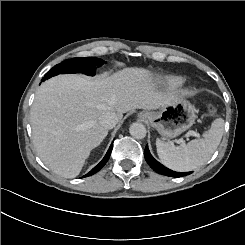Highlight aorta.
I'll use <instances>...</instances> for the list:
<instances>
[{"label": "aorta", "instance_id": "aorta-1", "mask_svg": "<svg viewBox=\"0 0 245 245\" xmlns=\"http://www.w3.org/2000/svg\"><path fill=\"white\" fill-rule=\"evenodd\" d=\"M129 132L131 136L136 139H143L147 133L146 127L142 123L138 122H135L130 126Z\"/></svg>", "mask_w": 245, "mask_h": 245}]
</instances>
